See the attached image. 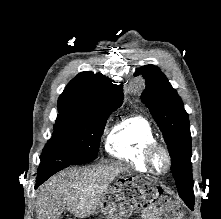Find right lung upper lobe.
Here are the masks:
<instances>
[{
	"label": "right lung upper lobe",
	"mask_w": 221,
	"mask_h": 219,
	"mask_svg": "<svg viewBox=\"0 0 221 219\" xmlns=\"http://www.w3.org/2000/svg\"><path fill=\"white\" fill-rule=\"evenodd\" d=\"M100 73L81 72L65 88L58 100L60 114L76 117H100L121 106V85L113 84Z\"/></svg>",
	"instance_id": "1"
}]
</instances>
